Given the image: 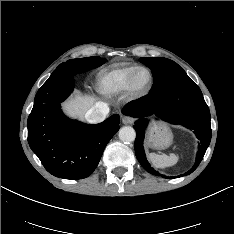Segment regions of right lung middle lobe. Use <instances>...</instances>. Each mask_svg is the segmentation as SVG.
<instances>
[{
	"instance_id": "obj_1",
	"label": "right lung middle lobe",
	"mask_w": 234,
	"mask_h": 234,
	"mask_svg": "<svg viewBox=\"0 0 234 234\" xmlns=\"http://www.w3.org/2000/svg\"><path fill=\"white\" fill-rule=\"evenodd\" d=\"M105 61H106L105 59H101L98 56L72 59L60 64L55 70L67 71L69 73L76 75L77 73H82L91 70L93 68L99 67Z\"/></svg>"
}]
</instances>
